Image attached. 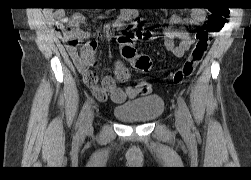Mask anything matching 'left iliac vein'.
<instances>
[{
    "label": "left iliac vein",
    "instance_id": "4c4485c4",
    "mask_svg": "<svg viewBox=\"0 0 251 180\" xmlns=\"http://www.w3.org/2000/svg\"><path fill=\"white\" fill-rule=\"evenodd\" d=\"M175 122H176V126L179 130L184 131L186 129V123L184 120V116L180 110H176V112H175Z\"/></svg>",
    "mask_w": 251,
    "mask_h": 180
}]
</instances>
